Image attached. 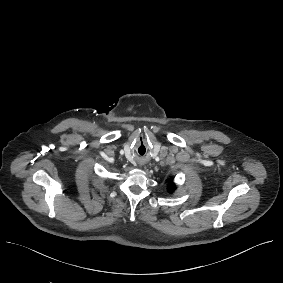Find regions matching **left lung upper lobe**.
I'll list each match as a JSON object with an SVG mask.
<instances>
[{"label":"left lung upper lobe","instance_id":"left-lung-upper-lobe-1","mask_svg":"<svg viewBox=\"0 0 283 283\" xmlns=\"http://www.w3.org/2000/svg\"><path fill=\"white\" fill-rule=\"evenodd\" d=\"M175 189H176L175 185L170 182V183L168 184V191H169L170 193H172Z\"/></svg>","mask_w":283,"mask_h":283}]
</instances>
